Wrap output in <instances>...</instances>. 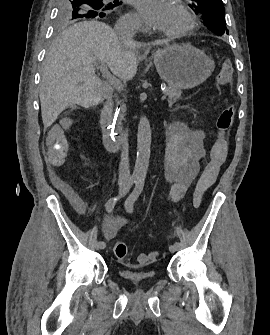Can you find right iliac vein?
Returning <instances> with one entry per match:
<instances>
[{
  "label": "right iliac vein",
  "instance_id": "obj_1",
  "mask_svg": "<svg viewBox=\"0 0 270 335\" xmlns=\"http://www.w3.org/2000/svg\"><path fill=\"white\" fill-rule=\"evenodd\" d=\"M124 190H125V186H124V185L120 186L119 191H120L121 194L124 193ZM94 248H95L96 250H99V249H100L99 241H95V243H94Z\"/></svg>",
  "mask_w": 270,
  "mask_h": 335
}]
</instances>
